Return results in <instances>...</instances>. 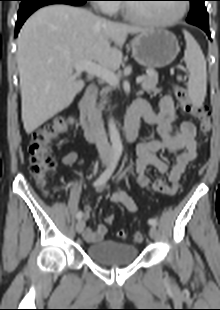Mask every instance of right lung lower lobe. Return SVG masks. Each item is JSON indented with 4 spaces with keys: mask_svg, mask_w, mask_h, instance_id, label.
<instances>
[{
    "mask_svg": "<svg viewBox=\"0 0 220 310\" xmlns=\"http://www.w3.org/2000/svg\"><path fill=\"white\" fill-rule=\"evenodd\" d=\"M86 1L88 0H21L20 8L18 11V19L15 27V36H17L25 20L40 7L56 3L81 6Z\"/></svg>",
    "mask_w": 220,
    "mask_h": 310,
    "instance_id": "98d812e1",
    "label": "right lung lower lobe"
}]
</instances>
